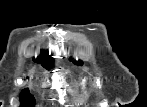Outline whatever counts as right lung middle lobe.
<instances>
[{
  "mask_svg": "<svg viewBox=\"0 0 147 107\" xmlns=\"http://www.w3.org/2000/svg\"><path fill=\"white\" fill-rule=\"evenodd\" d=\"M49 68V67H45ZM35 99L28 90H23L21 93V106H34Z\"/></svg>",
  "mask_w": 147,
  "mask_h": 107,
  "instance_id": "right-lung-middle-lobe-1",
  "label": "right lung middle lobe"
}]
</instances>
